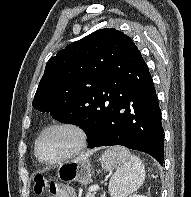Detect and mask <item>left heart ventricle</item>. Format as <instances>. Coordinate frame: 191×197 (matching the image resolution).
<instances>
[{
	"mask_svg": "<svg viewBox=\"0 0 191 197\" xmlns=\"http://www.w3.org/2000/svg\"><path fill=\"white\" fill-rule=\"evenodd\" d=\"M76 144L77 137L71 130L63 128L53 129L47 132L40 140L39 153L44 160L51 161L72 151Z\"/></svg>",
	"mask_w": 191,
	"mask_h": 197,
	"instance_id": "left-heart-ventricle-1",
	"label": "left heart ventricle"
}]
</instances>
